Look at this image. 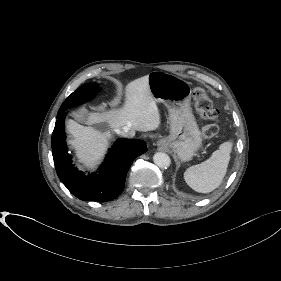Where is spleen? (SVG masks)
<instances>
[{"label":"spleen","instance_id":"1","mask_svg":"<svg viewBox=\"0 0 281 281\" xmlns=\"http://www.w3.org/2000/svg\"><path fill=\"white\" fill-rule=\"evenodd\" d=\"M232 142H224L206 161L189 167L184 173L186 183L196 192L209 193L226 175Z\"/></svg>","mask_w":281,"mask_h":281}]
</instances>
